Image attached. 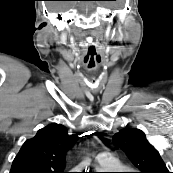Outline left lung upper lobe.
Returning <instances> with one entry per match:
<instances>
[{
  "mask_svg": "<svg viewBox=\"0 0 173 173\" xmlns=\"http://www.w3.org/2000/svg\"><path fill=\"white\" fill-rule=\"evenodd\" d=\"M113 141L126 152L140 173H170L143 131L134 128L123 129L113 136Z\"/></svg>",
  "mask_w": 173,
  "mask_h": 173,
  "instance_id": "obj_1",
  "label": "left lung upper lobe"
}]
</instances>
